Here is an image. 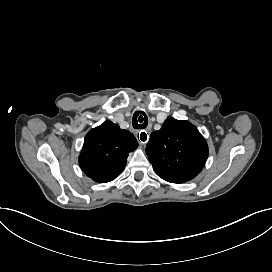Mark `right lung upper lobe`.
I'll use <instances>...</instances> for the list:
<instances>
[{"mask_svg": "<svg viewBox=\"0 0 272 272\" xmlns=\"http://www.w3.org/2000/svg\"><path fill=\"white\" fill-rule=\"evenodd\" d=\"M137 147L138 142L132 133L106 121L87 133L79 165L94 181L110 182L123 171L128 154Z\"/></svg>", "mask_w": 272, "mask_h": 272, "instance_id": "obj_1", "label": "right lung upper lobe"}]
</instances>
